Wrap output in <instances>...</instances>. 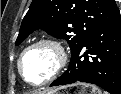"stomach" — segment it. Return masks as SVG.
I'll use <instances>...</instances> for the list:
<instances>
[{
	"instance_id": "0dacf381",
	"label": "stomach",
	"mask_w": 121,
	"mask_h": 94,
	"mask_svg": "<svg viewBox=\"0 0 121 94\" xmlns=\"http://www.w3.org/2000/svg\"><path fill=\"white\" fill-rule=\"evenodd\" d=\"M47 94H101V91L99 88L93 85L84 84V83H75L70 86L61 87Z\"/></svg>"
}]
</instances>
